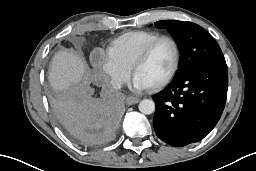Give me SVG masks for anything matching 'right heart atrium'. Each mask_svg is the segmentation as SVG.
<instances>
[{
    "label": "right heart atrium",
    "mask_w": 256,
    "mask_h": 171,
    "mask_svg": "<svg viewBox=\"0 0 256 171\" xmlns=\"http://www.w3.org/2000/svg\"><path fill=\"white\" fill-rule=\"evenodd\" d=\"M92 57L94 64L107 76L113 87L119 88L127 80L129 69L120 64L108 53L95 51Z\"/></svg>",
    "instance_id": "1"
}]
</instances>
